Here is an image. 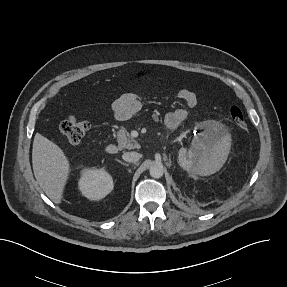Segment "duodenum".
Returning a JSON list of instances; mask_svg holds the SVG:
<instances>
[{
    "label": "duodenum",
    "mask_w": 287,
    "mask_h": 287,
    "mask_svg": "<svg viewBox=\"0 0 287 287\" xmlns=\"http://www.w3.org/2000/svg\"><path fill=\"white\" fill-rule=\"evenodd\" d=\"M105 150H106V152H107L108 154H115V153L118 152L117 146H116L115 144H113V143L108 144V145L106 146Z\"/></svg>",
    "instance_id": "1"
}]
</instances>
